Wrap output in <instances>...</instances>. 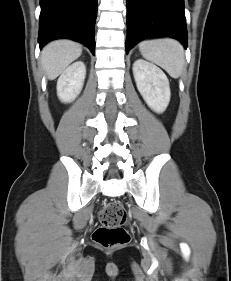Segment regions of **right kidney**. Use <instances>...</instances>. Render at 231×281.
Segmentation results:
<instances>
[{
  "label": "right kidney",
  "mask_w": 231,
  "mask_h": 281,
  "mask_svg": "<svg viewBox=\"0 0 231 281\" xmlns=\"http://www.w3.org/2000/svg\"><path fill=\"white\" fill-rule=\"evenodd\" d=\"M86 75L83 62L78 61L67 67L57 81V95L62 102H71L80 93Z\"/></svg>",
  "instance_id": "obj_1"
}]
</instances>
